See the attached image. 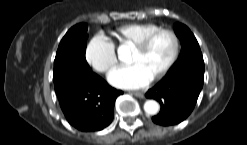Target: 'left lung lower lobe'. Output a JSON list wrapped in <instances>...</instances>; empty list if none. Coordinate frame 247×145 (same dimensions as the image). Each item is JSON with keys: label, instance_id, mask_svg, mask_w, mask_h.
<instances>
[{"label": "left lung lower lobe", "instance_id": "0a47b994", "mask_svg": "<svg viewBox=\"0 0 247 145\" xmlns=\"http://www.w3.org/2000/svg\"><path fill=\"white\" fill-rule=\"evenodd\" d=\"M204 80V62H186L169 73L146 93L157 100L160 113L152 118L156 124L168 126L182 122L192 112Z\"/></svg>", "mask_w": 247, "mask_h": 145}]
</instances>
